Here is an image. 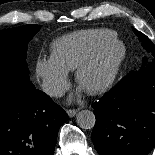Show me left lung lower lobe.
<instances>
[{"label":"left lung lower lobe","instance_id":"0a47b994","mask_svg":"<svg viewBox=\"0 0 155 155\" xmlns=\"http://www.w3.org/2000/svg\"><path fill=\"white\" fill-rule=\"evenodd\" d=\"M92 107L100 155H148L155 146V66L129 72Z\"/></svg>","mask_w":155,"mask_h":155}]
</instances>
